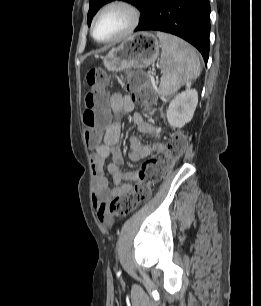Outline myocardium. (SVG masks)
Listing matches in <instances>:
<instances>
[{
	"label": "myocardium",
	"mask_w": 261,
	"mask_h": 306,
	"mask_svg": "<svg viewBox=\"0 0 261 306\" xmlns=\"http://www.w3.org/2000/svg\"><path fill=\"white\" fill-rule=\"evenodd\" d=\"M112 8H121L124 9L128 12L129 16H130V21L128 26L118 35L108 38V39H104V40H100L98 38H96L95 36V28H96V24L99 20V18L109 9ZM140 19H141V12L139 10V8L132 3L131 1L128 0H112L110 2H108L107 4H105L103 7H101L97 13L95 14L93 20H92V24H91V28H90V33L92 38L99 42V43H111L117 40H120L124 37H126L127 35L131 34L139 25L140 23Z\"/></svg>",
	"instance_id": "myocardium-1"
}]
</instances>
